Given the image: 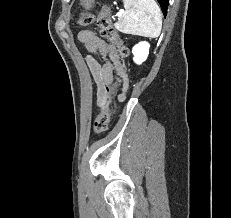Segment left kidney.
Returning a JSON list of instances; mask_svg holds the SVG:
<instances>
[{"mask_svg": "<svg viewBox=\"0 0 231 218\" xmlns=\"http://www.w3.org/2000/svg\"><path fill=\"white\" fill-rule=\"evenodd\" d=\"M149 43L148 42H140L137 45H135L132 49V53L134 55V62L137 64H141L144 62L149 54Z\"/></svg>", "mask_w": 231, "mask_h": 218, "instance_id": "5707ae66", "label": "left kidney"}]
</instances>
